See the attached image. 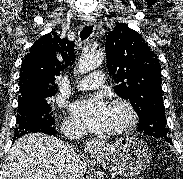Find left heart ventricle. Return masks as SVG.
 <instances>
[{
  "instance_id": "obj_1",
  "label": "left heart ventricle",
  "mask_w": 183,
  "mask_h": 179,
  "mask_svg": "<svg viewBox=\"0 0 183 179\" xmlns=\"http://www.w3.org/2000/svg\"><path fill=\"white\" fill-rule=\"evenodd\" d=\"M127 119V114L123 108L120 107H109V118L107 131L117 126L122 125Z\"/></svg>"
}]
</instances>
